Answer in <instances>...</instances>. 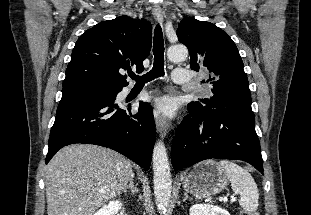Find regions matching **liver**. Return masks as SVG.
Segmentation results:
<instances>
[{"instance_id":"6515ba94","label":"liver","mask_w":311,"mask_h":215,"mask_svg":"<svg viewBox=\"0 0 311 215\" xmlns=\"http://www.w3.org/2000/svg\"><path fill=\"white\" fill-rule=\"evenodd\" d=\"M133 175L131 162L113 150L66 146L46 168L48 215H92L119 195Z\"/></svg>"}]
</instances>
